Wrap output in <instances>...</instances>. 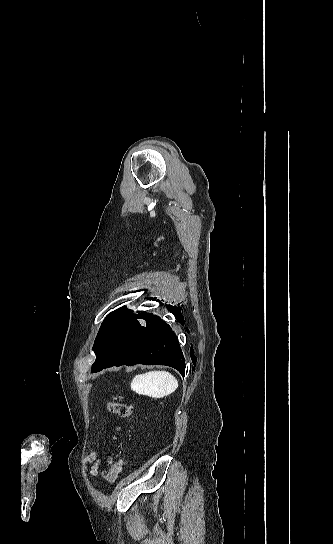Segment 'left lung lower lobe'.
Masks as SVG:
<instances>
[{
  "instance_id": "left-lung-lower-lobe-1",
  "label": "left lung lower lobe",
  "mask_w": 333,
  "mask_h": 544,
  "mask_svg": "<svg viewBox=\"0 0 333 544\" xmlns=\"http://www.w3.org/2000/svg\"><path fill=\"white\" fill-rule=\"evenodd\" d=\"M135 364L167 365L184 376L185 359L169 324L160 320L149 328L138 326L127 346L106 351L102 363L93 368L92 372L112 366Z\"/></svg>"
}]
</instances>
